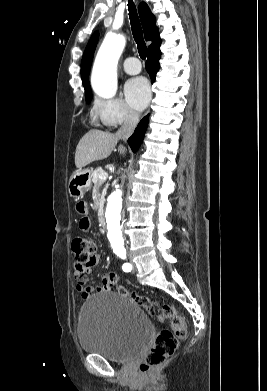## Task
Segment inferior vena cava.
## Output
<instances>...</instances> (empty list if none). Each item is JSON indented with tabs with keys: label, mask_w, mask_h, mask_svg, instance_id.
Masks as SVG:
<instances>
[{
	"label": "inferior vena cava",
	"mask_w": 267,
	"mask_h": 391,
	"mask_svg": "<svg viewBox=\"0 0 267 391\" xmlns=\"http://www.w3.org/2000/svg\"><path fill=\"white\" fill-rule=\"evenodd\" d=\"M139 121V114L134 111H128L124 123L116 133V137L122 140H127L133 133Z\"/></svg>",
	"instance_id": "obj_1"
}]
</instances>
